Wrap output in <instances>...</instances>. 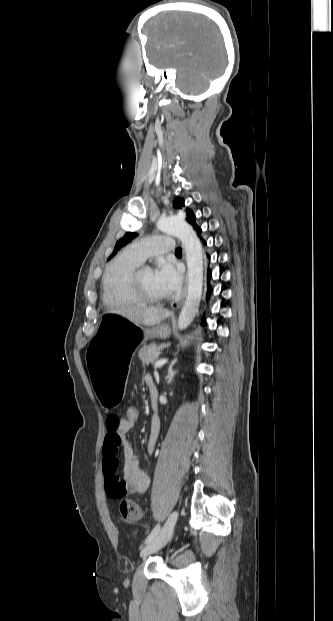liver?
<instances>
[{"label":"liver","instance_id":"liver-1","mask_svg":"<svg viewBox=\"0 0 333 621\" xmlns=\"http://www.w3.org/2000/svg\"><path fill=\"white\" fill-rule=\"evenodd\" d=\"M113 312H117L129 321L141 326H153L155 324H159L171 313L169 310L161 307H151L143 309L128 308L125 310H118Z\"/></svg>","mask_w":333,"mask_h":621}]
</instances>
